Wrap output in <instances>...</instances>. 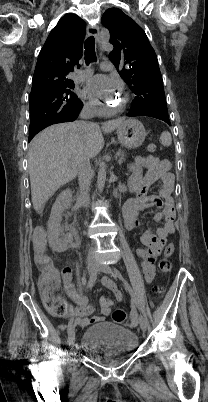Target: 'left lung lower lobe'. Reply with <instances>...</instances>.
Here are the masks:
<instances>
[{"mask_svg":"<svg viewBox=\"0 0 208 402\" xmlns=\"http://www.w3.org/2000/svg\"><path fill=\"white\" fill-rule=\"evenodd\" d=\"M127 116H129V117H135V116H149V117H154V118L163 120V121H165L167 124L170 125L169 118H163V117H161V116H159V115L152 114V113L130 111V112L127 114Z\"/></svg>","mask_w":208,"mask_h":402,"instance_id":"obj_1","label":"left lung lower lobe"}]
</instances>
